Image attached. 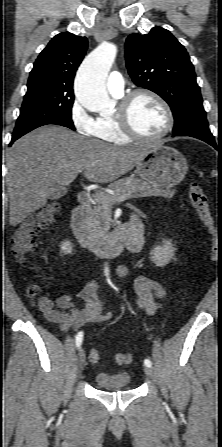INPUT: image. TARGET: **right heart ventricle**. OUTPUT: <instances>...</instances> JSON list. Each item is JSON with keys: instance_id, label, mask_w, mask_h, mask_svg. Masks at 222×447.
<instances>
[{"instance_id": "1", "label": "right heart ventricle", "mask_w": 222, "mask_h": 447, "mask_svg": "<svg viewBox=\"0 0 222 447\" xmlns=\"http://www.w3.org/2000/svg\"><path fill=\"white\" fill-rule=\"evenodd\" d=\"M93 135L101 140L114 144H125L131 139L119 128L115 115H102L95 120Z\"/></svg>"}]
</instances>
